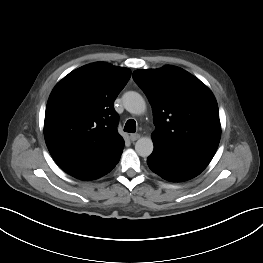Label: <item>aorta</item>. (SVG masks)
Returning a JSON list of instances; mask_svg holds the SVG:
<instances>
[{
  "label": "aorta",
  "mask_w": 263,
  "mask_h": 263,
  "mask_svg": "<svg viewBox=\"0 0 263 263\" xmlns=\"http://www.w3.org/2000/svg\"><path fill=\"white\" fill-rule=\"evenodd\" d=\"M123 104L128 112L136 115L144 113L146 109L145 100L139 93L134 91L126 92L123 95ZM153 148V141L150 137H142L135 144V150L141 157L150 156Z\"/></svg>",
  "instance_id": "762f6f07"
}]
</instances>
